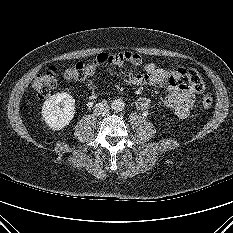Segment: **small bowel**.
<instances>
[{
    "label": "small bowel",
    "instance_id": "c3829d8e",
    "mask_svg": "<svg viewBox=\"0 0 233 233\" xmlns=\"http://www.w3.org/2000/svg\"><path fill=\"white\" fill-rule=\"evenodd\" d=\"M110 55V54H109ZM112 61L109 65L124 67L130 65L134 69L127 74L126 82L132 86L152 85L166 89L165 105L176 112L181 118H187L194 103V90L186 82V70L166 69L154 62L144 64L143 58L133 52L125 51L110 55ZM89 88L93 87L92 81L87 82ZM136 108L146 111L151 106L147 97H140L135 102Z\"/></svg>",
    "mask_w": 233,
    "mask_h": 233
}]
</instances>
